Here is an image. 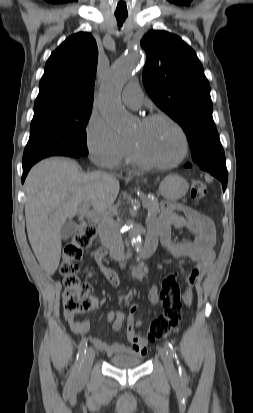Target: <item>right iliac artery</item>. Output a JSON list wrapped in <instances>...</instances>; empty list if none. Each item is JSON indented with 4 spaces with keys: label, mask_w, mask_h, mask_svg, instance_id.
Wrapping results in <instances>:
<instances>
[{
    "label": "right iliac artery",
    "mask_w": 253,
    "mask_h": 413,
    "mask_svg": "<svg viewBox=\"0 0 253 413\" xmlns=\"http://www.w3.org/2000/svg\"><path fill=\"white\" fill-rule=\"evenodd\" d=\"M86 348H87V340L84 338L81 340L80 345H79V349H78V353H77V358L76 361L74 363V366L72 368V373L70 376V381L78 375L81 365L83 363L84 360V356L86 354Z\"/></svg>",
    "instance_id": "right-iliac-artery-1"
}]
</instances>
